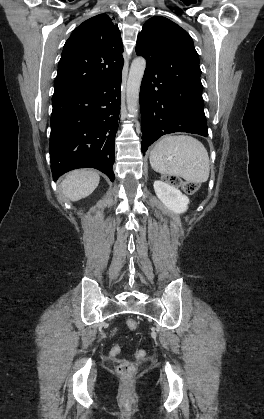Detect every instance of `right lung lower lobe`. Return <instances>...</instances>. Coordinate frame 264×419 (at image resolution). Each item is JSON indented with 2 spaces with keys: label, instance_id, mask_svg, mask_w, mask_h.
<instances>
[{
  "label": "right lung lower lobe",
  "instance_id": "right-lung-lower-lobe-1",
  "mask_svg": "<svg viewBox=\"0 0 264 419\" xmlns=\"http://www.w3.org/2000/svg\"><path fill=\"white\" fill-rule=\"evenodd\" d=\"M121 71L109 81L54 95L50 161L53 179L76 168L92 167L111 181L120 112Z\"/></svg>",
  "mask_w": 264,
  "mask_h": 419
}]
</instances>
